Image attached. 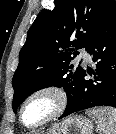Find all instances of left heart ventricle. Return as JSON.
<instances>
[{
  "label": "left heart ventricle",
  "mask_w": 116,
  "mask_h": 134,
  "mask_svg": "<svg viewBox=\"0 0 116 134\" xmlns=\"http://www.w3.org/2000/svg\"><path fill=\"white\" fill-rule=\"evenodd\" d=\"M53 100L50 97L41 96L33 99L24 110V121L27 124H36L53 109Z\"/></svg>",
  "instance_id": "b2bd125f"
}]
</instances>
